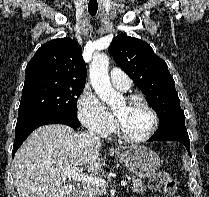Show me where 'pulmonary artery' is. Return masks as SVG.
I'll return each mask as SVG.
<instances>
[{"label":"pulmonary artery","instance_id":"1","mask_svg":"<svg viewBox=\"0 0 209 197\" xmlns=\"http://www.w3.org/2000/svg\"><path fill=\"white\" fill-rule=\"evenodd\" d=\"M110 79L113 86L121 91H127L131 86V80L129 76L118 68H113L110 71Z\"/></svg>","mask_w":209,"mask_h":197}]
</instances>
